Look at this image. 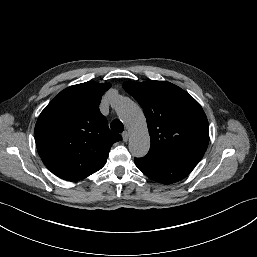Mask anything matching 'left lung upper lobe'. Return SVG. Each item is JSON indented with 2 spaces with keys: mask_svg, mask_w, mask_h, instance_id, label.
<instances>
[{
  "mask_svg": "<svg viewBox=\"0 0 257 257\" xmlns=\"http://www.w3.org/2000/svg\"><path fill=\"white\" fill-rule=\"evenodd\" d=\"M123 88L143 108L151 138L142 159L162 163H198L209 143V125L201 105L166 81L125 82Z\"/></svg>",
  "mask_w": 257,
  "mask_h": 257,
  "instance_id": "5c2ea615",
  "label": "left lung upper lobe"
}]
</instances>
